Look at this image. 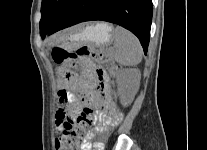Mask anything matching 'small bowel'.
Instances as JSON below:
<instances>
[{"instance_id": "obj_1", "label": "small bowel", "mask_w": 207, "mask_h": 150, "mask_svg": "<svg viewBox=\"0 0 207 150\" xmlns=\"http://www.w3.org/2000/svg\"><path fill=\"white\" fill-rule=\"evenodd\" d=\"M81 65L83 67V75L81 77L70 74V77H74L75 79V87H73L72 91H75L78 94L83 104L105 108L109 115L107 116L106 113L100 111L98 117L106 124L116 125L121 120V115L116 114L113 111V103L108 97V81L106 73L102 69L97 68L88 59H82ZM95 85L101 88L102 94L95 91ZM73 99H77L75 94H73ZM70 112L73 113L74 111ZM94 148L102 150L103 144L95 143ZM83 149L89 150L90 145L85 143Z\"/></svg>"}]
</instances>
